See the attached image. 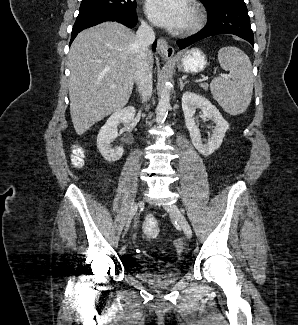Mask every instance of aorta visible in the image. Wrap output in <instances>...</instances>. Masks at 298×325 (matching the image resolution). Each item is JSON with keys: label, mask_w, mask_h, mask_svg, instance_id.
I'll return each mask as SVG.
<instances>
[{"label": "aorta", "mask_w": 298, "mask_h": 325, "mask_svg": "<svg viewBox=\"0 0 298 325\" xmlns=\"http://www.w3.org/2000/svg\"><path fill=\"white\" fill-rule=\"evenodd\" d=\"M172 84L170 80H164L163 88L159 94L158 104L155 108L156 122H164L171 100Z\"/></svg>", "instance_id": "762f6f07"}]
</instances>
